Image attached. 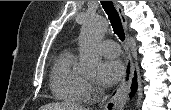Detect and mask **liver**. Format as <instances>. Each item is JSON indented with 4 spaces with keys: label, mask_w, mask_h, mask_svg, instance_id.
<instances>
[{
    "label": "liver",
    "mask_w": 171,
    "mask_h": 110,
    "mask_svg": "<svg viewBox=\"0 0 171 110\" xmlns=\"http://www.w3.org/2000/svg\"><path fill=\"white\" fill-rule=\"evenodd\" d=\"M39 110H86L83 107L70 103H49L41 106Z\"/></svg>",
    "instance_id": "1"
}]
</instances>
